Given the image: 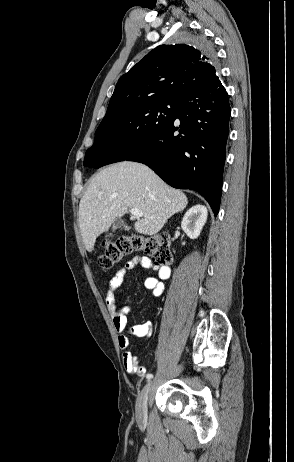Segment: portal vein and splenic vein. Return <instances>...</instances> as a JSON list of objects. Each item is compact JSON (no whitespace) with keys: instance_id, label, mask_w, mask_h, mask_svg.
Wrapping results in <instances>:
<instances>
[{"instance_id":"portal-vein-and-splenic-vein-1","label":"portal vein and splenic vein","mask_w":294,"mask_h":462,"mask_svg":"<svg viewBox=\"0 0 294 462\" xmlns=\"http://www.w3.org/2000/svg\"><path fill=\"white\" fill-rule=\"evenodd\" d=\"M130 213L135 218L143 217V212L141 210L137 209V208H132L130 210Z\"/></svg>"}]
</instances>
